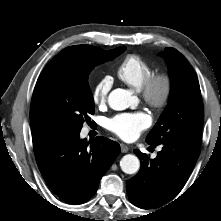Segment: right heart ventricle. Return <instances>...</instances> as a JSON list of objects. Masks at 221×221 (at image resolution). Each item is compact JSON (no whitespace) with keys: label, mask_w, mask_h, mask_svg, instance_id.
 Instances as JSON below:
<instances>
[{"label":"right heart ventricle","mask_w":221,"mask_h":221,"mask_svg":"<svg viewBox=\"0 0 221 221\" xmlns=\"http://www.w3.org/2000/svg\"><path fill=\"white\" fill-rule=\"evenodd\" d=\"M152 73V64L146 58L135 54L127 55L117 68L118 78L136 90H140Z\"/></svg>","instance_id":"e07e8e85"}]
</instances>
